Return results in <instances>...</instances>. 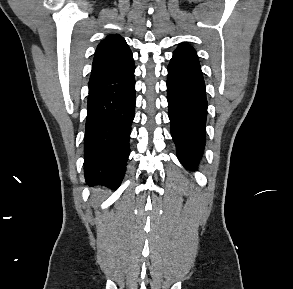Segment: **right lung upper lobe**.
I'll list each match as a JSON object with an SVG mask.
<instances>
[{"label":"right lung upper lobe","instance_id":"right-lung-upper-lobe-1","mask_svg":"<svg viewBox=\"0 0 293 289\" xmlns=\"http://www.w3.org/2000/svg\"><path fill=\"white\" fill-rule=\"evenodd\" d=\"M135 70L132 52L120 35H109L97 46L89 92L128 79Z\"/></svg>","mask_w":293,"mask_h":289}]
</instances>
